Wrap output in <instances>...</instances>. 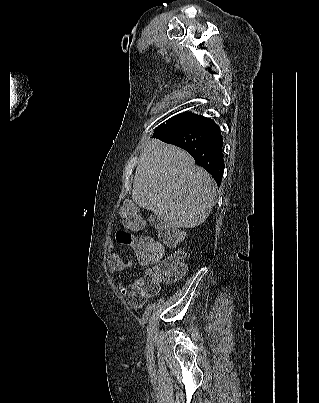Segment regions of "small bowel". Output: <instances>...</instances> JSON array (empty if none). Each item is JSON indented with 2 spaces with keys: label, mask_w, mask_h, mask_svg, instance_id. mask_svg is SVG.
Returning a JSON list of instances; mask_svg holds the SVG:
<instances>
[{
  "label": "small bowel",
  "mask_w": 319,
  "mask_h": 403,
  "mask_svg": "<svg viewBox=\"0 0 319 403\" xmlns=\"http://www.w3.org/2000/svg\"><path fill=\"white\" fill-rule=\"evenodd\" d=\"M115 235L116 245L119 246L120 249L138 248L137 236L132 235L131 229H116ZM136 253L139 264L142 267L147 268L146 271L150 270L148 267L154 265V262L147 259L142 252ZM132 265V262H125L122 260L116 252H111L109 254L107 266L112 272L122 273ZM120 293H123V290H120ZM125 300H127L130 309L142 308L145 300H148V291H146L142 279H133L127 283L125 287Z\"/></svg>",
  "instance_id": "1"
}]
</instances>
